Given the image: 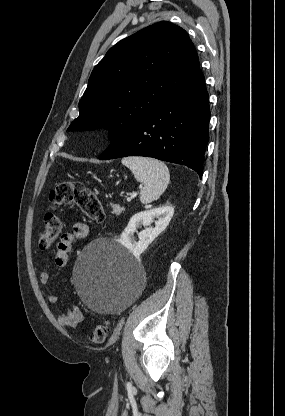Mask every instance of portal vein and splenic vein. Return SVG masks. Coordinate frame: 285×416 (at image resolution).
<instances>
[{
    "label": "portal vein and splenic vein",
    "mask_w": 285,
    "mask_h": 416,
    "mask_svg": "<svg viewBox=\"0 0 285 416\" xmlns=\"http://www.w3.org/2000/svg\"><path fill=\"white\" fill-rule=\"evenodd\" d=\"M137 194H130V198H127V202H131L132 198H136Z\"/></svg>",
    "instance_id": "18ae733b"
}]
</instances>
